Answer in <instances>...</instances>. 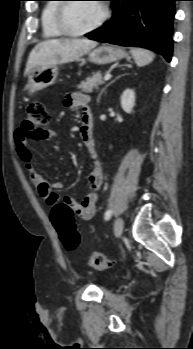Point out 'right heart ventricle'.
I'll use <instances>...</instances> for the list:
<instances>
[{
	"label": "right heart ventricle",
	"instance_id": "1",
	"mask_svg": "<svg viewBox=\"0 0 193 349\" xmlns=\"http://www.w3.org/2000/svg\"><path fill=\"white\" fill-rule=\"evenodd\" d=\"M58 0H49L42 9L40 16L42 37L44 39H56L62 36V33L56 28L54 23V15Z\"/></svg>",
	"mask_w": 193,
	"mask_h": 349
}]
</instances>
